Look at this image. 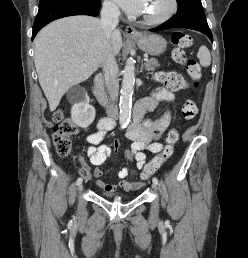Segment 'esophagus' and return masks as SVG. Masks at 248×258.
<instances>
[{"mask_svg": "<svg viewBox=\"0 0 248 258\" xmlns=\"http://www.w3.org/2000/svg\"><path fill=\"white\" fill-rule=\"evenodd\" d=\"M125 33L128 36H137L139 32L133 26H127L125 29Z\"/></svg>", "mask_w": 248, "mask_h": 258, "instance_id": "esophagus-1", "label": "esophagus"}]
</instances>
